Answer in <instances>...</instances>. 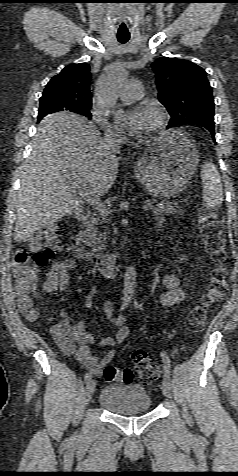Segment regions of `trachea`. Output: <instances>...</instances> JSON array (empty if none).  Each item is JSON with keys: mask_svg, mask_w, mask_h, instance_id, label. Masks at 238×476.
Masks as SVG:
<instances>
[{"mask_svg": "<svg viewBox=\"0 0 238 476\" xmlns=\"http://www.w3.org/2000/svg\"><path fill=\"white\" fill-rule=\"evenodd\" d=\"M117 39L120 43L125 44L130 39V36H117Z\"/></svg>", "mask_w": 238, "mask_h": 476, "instance_id": "1", "label": "trachea"}]
</instances>
